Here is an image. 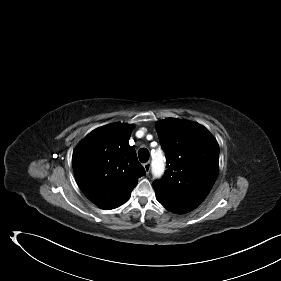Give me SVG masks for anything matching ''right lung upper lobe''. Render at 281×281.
Returning a JSON list of instances; mask_svg holds the SVG:
<instances>
[{"label":"right lung upper lobe","mask_w":281,"mask_h":281,"mask_svg":"<svg viewBox=\"0 0 281 281\" xmlns=\"http://www.w3.org/2000/svg\"><path fill=\"white\" fill-rule=\"evenodd\" d=\"M133 125L113 123L93 130L73 152L72 164L84 195L102 209L125 203L145 175L129 145Z\"/></svg>","instance_id":"1"}]
</instances>
